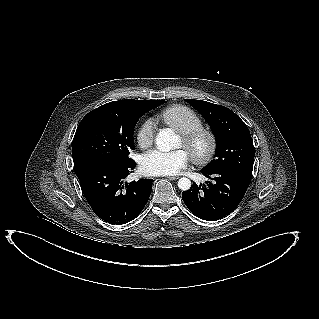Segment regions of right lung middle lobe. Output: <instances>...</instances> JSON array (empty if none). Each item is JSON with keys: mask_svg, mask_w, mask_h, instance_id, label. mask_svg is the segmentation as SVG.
<instances>
[{"mask_svg": "<svg viewBox=\"0 0 319 319\" xmlns=\"http://www.w3.org/2000/svg\"><path fill=\"white\" fill-rule=\"evenodd\" d=\"M164 100H128L104 104L88 114L77 127L72 142L74 169L93 161L127 163L134 149V127L145 113Z\"/></svg>", "mask_w": 319, "mask_h": 319, "instance_id": "dd1d6c3e", "label": "right lung middle lobe"}]
</instances>
